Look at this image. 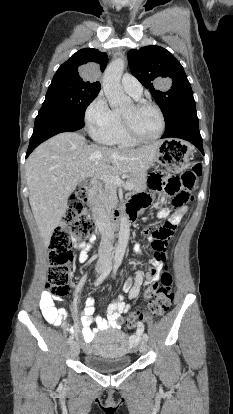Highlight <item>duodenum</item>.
<instances>
[{
    "label": "duodenum",
    "instance_id": "obj_1",
    "mask_svg": "<svg viewBox=\"0 0 233 414\" xmlns=\"http://www.w3.org/2000/svg\"><path fill=\"white\" fill-rule=\"evenodd\" d=\"M90 198H83V203H88ZM136 217V213L131 209L129 211H117L114 213L113 218L115 221L130 222ZM97 229V227H96Z\"/></svg>",
    "mask_w": 233,
    "mask_h": 414
}]
</instances>
